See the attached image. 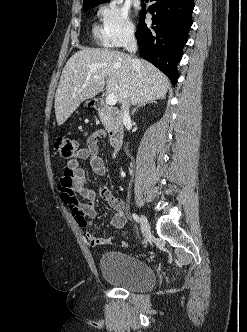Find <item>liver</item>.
<instances>
[{"label": "liver", "instance_id": "1", "mask_svg": "<svg viewBox=\"0 0 247 332\" xmlns=\"http://www.w3.org/2000/svg\"><path fill=\"white\" fill-rule=\"evenodd\" d=\"M105 83L122 106L164 98L170 86L169 79L145 60L109 49L84 48L70 57L62 71L54 104L57 124L100 93Z\"/></svg>", "mask_w": 247, "mask_h": 332}]
</instances>
